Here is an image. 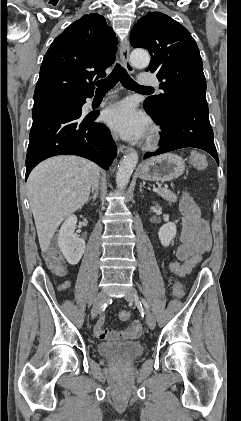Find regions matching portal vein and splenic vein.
Returning a JSON list of instances; mask_svg holds the SVG:
<instances>
[{
    "label": "portal vein and splenic vein",
    "mask_w": 241,
    "mask_h": 421,
    "mask_svg": "<svg viewBox=\"0 0 241 421\" xmlns=\"http://www.w3.org/2000/svg\"><path fill=\"white\" fill-rule=\"evenodd\" d=\"M153 191H154V192H157V191H158V188H155V187H154V188H153Z\"/></svg>",
    "instance_id": "1"
}]
</instances>
